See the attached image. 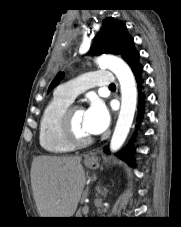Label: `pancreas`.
Instances as JSON below:
<instances>
[{
	"mask_svg": "<svg viewBox=\"0 0 181 227\" xmlns=\"http://www.w3.org/2000/svg\"><path fill=\"white\" fill-rule=\"evenodd\" d=\"M87 212V210L83 207L82 209H79L78 211V217H82V214Z\"/></svg>",
	"mask_w": 181,
	"mask_h": 227,
	"instance_id": "obj_1",
	"label": "pancreas"
}]
</instances>
